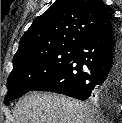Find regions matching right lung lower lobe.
Masks as SVG:
<instances>
[{
  "mask_svg": "<svg viewBox=\"0 0 122 123\" xmlns=\"http://www.w3.org/2000/svg\"><path fill=\"white\" fill-rule=\"evenodd\" d=\"M31 91H50L82 101L99 94L121 97L122 40L112 20L79 45L69 64Z\"/></svg>",
  "mask_w": 122,
  "mask_h": 123,
  "instance_id": "98d812e1",
  "label": "right lung lower lobe"
}]
</instances>
